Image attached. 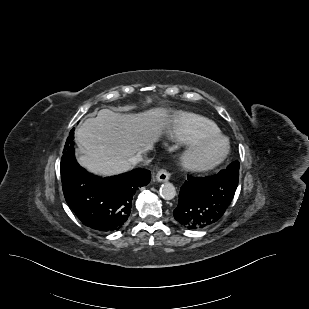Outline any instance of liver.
<instances>
[{
  "label": "liver",
  "mask_w": 309,
  "mask_h": 309,
  "mask_svg": "<svg viewBox=\"0 0 309 309\" xmlns=\"http://www.w3.org/2000/svg\"><path fill=\"white\" fill-rule=\"evenodd\" d=\"M170 123L168 110L157 107L138 114L102 109L75 132L79 163L95 174L111 176L131 168L128 159L153 147Z\"/></svg>",
  "instance_id": "6515ba94"
}]
</instances>
